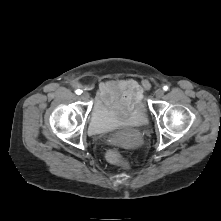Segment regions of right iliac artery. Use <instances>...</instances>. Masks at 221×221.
Segmentation results:
<instances>
[{
	"instance_id": "obj_1",
	"label": "right iliac artery",
	"mask_w": 221,
	"mask_h": 221,
	"mask_svg": "<svg viewBox=\"0 0 221 221\" xmlns=\"http://www.w3.org/2000/svg\"><path fill=\"white\" fill-rule=\"evenodd\" d=\"M75 92L76 94L80 95L82 91L80 89H77Z\"/></svg>"
}]
</instances>
